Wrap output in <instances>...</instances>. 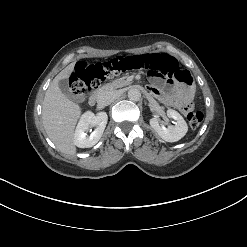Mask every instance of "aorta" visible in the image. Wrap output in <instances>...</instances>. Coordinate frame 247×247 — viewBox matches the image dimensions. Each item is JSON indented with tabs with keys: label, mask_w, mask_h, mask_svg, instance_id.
Segmentation results:
<instances>
[{
	"label": "aorta",
	"mask_w": 247,
	"mask_h": 247,
	"mask_svg": "<svg viewBox=\"0 0 247 247\" xmlns=\"http://www.w3.org/2000/svg\"><path fill=\"white\" fill-rule=\"evenodd\" d=\"M128 98L131 101H139L141 98V92L137 88H131L128 91Z\"/></svg>",
	"instance_id": "obj_1"
}]
</instances>
